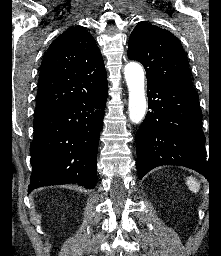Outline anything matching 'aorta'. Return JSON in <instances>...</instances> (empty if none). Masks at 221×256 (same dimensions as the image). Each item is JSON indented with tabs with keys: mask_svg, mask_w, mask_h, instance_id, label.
Returning a JSON list of instances; mask_svg holds the SVG:
<instances>
[{
	"mask_svg": "<svg viewBox=\"0 0 221 256\" xmlns=\"http://www.w3.org/2000/svg\"><path fill=\"white\" fill-rule=\"evenodd\" d=\"M124 75L129 91V118L139 123L146 113L144 71L141 65L131 62L125 66Z\"/></svg>",
	"mask_w": 221,
	"mask_h": 256,
	"instance_id": "aorta-1",
	"label": "aorta"
}]
</instances>
